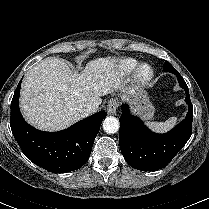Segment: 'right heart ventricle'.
<instances>
[{"label":"right heart ventricle","mask_w":209,"mask_h":209,"mask_svg":"<svg viewBox=\"0 0 209 209\" xmlns=\"http://www.w3.org/2000/svg\"><path fill=\"white\" fill-rule=\"evenodd\" d=\"M138 66V61L135 59H124L120 62L119 70L125 75H130Z\"/></svg>","instance_id":"e07e8e85"}]
</instances>
